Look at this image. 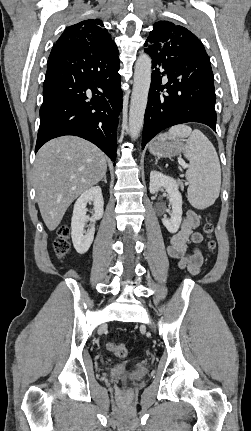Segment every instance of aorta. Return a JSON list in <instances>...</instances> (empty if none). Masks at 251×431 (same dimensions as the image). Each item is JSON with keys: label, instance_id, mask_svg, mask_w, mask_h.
<instances>
[{"label": "aorta", "instance_id": "aorta-1", "mask_svg": "<svg viewBox=\"0 0 251 431\" xmlns=\"http://www.w3.org/2000/svg\"><path fill=\"white\" fill-rule=\"evenodd\" d=\"M151 58L141 54L135 63L134 84L129 111V132L132 139L140 135L151 84Z\"/></svg>", "mask_w": 251, "mask_h": 431}]
</instances>
